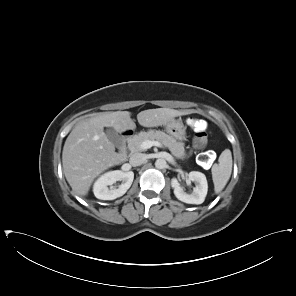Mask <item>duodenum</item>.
Masks as SVG:
<instances>
[{
	"mask_svg": "<svg viewBox=\"0 0 296 296\" xmlns=\"http://www.w3.org/2000/svg\"><path fill=\"white\" fill-rule=\"evenodd\" d=\"M135 138V132L133 130H128L123 133L122 139L125 143L124 150H129L132 147V142Z\"/></svg>",
	"mask_w": 296,
	"mask_h": 296,
	"instance_id": "410a0bca",
	"label": "duodenum"
}]
</instances>
